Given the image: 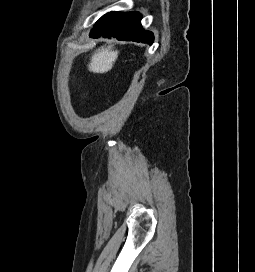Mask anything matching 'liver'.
Listing matches in <instances>:
<instances>
[{
	"label": "liver",
	"mask_w": 255,
	"mask_h": 272,
	"mask_svg": "<svg viewBox=\"0 0 255 272\" xmlns=\"http://www.w3.org/2000/svg\"><path fill=\"white\" fill-rule=\"evenodd\" d=\"M118 53L112 45L97 49L88 65L89 71L101 74L110 71L118 58Z\"/></svg>",
	"instance_id": "obj_1"
}]
</instances>
